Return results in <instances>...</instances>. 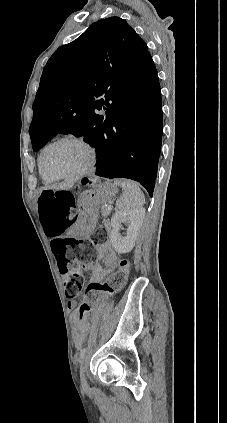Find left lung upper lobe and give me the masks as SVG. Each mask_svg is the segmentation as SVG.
<instances>
[{
	"label": "left lung upper lobe",
	"mask_w": 227,
	"mask_h": 423,
	"mask_svg": "<svg viewBox=\"0 0 227 423\" xmlns=\"http://www.w3.org/2000/svg\"><path fill=\"white\" fill-rule=\"evenodd\" d=\"M156 72L146 43L119 17L93 23L43 69L29 133L38 151L59 133L90 139L101 115L132 111Z\"/></svg>",
	"instance_id": "1"
}]
</instances>
